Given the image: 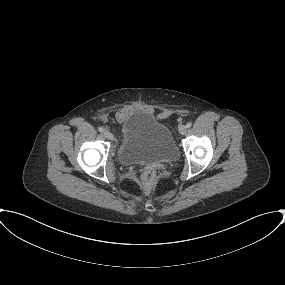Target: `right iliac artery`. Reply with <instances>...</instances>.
Masks as SVG:
<instances>
[{
	"instance_id": "1",
	"label": "right iliac artery",
	"mask_w": 285,
	"mask_h": 285,
	"mask_svg": "<svg viewBox=\"0 0 285 285\" xmlns=\"http://www.w3.org/2000/svg\"><path fill=\"white\" fill-rule=\"evenodd\" d=\"M98 131L102 133V132H104V128L103 127H99Z\"/></svg>"
}]
</instances>
